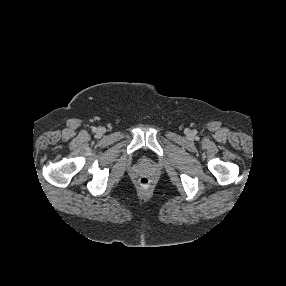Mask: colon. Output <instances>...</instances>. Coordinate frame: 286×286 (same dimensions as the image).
<instances>
[{"label": "colon", "instance_id": "5ec220e1", "mask_svg": "<svg viewBox=\"0 0 286 286\" xmlns=\"http://www.w3.org/2000/svg\"><path fill=\"white\" fill-rule=\"evenodd\" d=\"M139 184L143 188H147L151 184L150 178L143 176L139 179Z\"/></svg>", "mask_w": 286, "mask_h": 286}]
</instances>
